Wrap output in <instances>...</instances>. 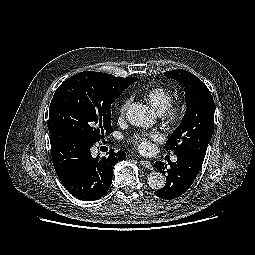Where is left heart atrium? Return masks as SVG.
<instances>
[{"mask_svg": "<svg viewBox=\"0 0 255 255\" xmlns=\"http://www.w3.org/2000/svg\"><path fill=\"white\" fill-rule=\"evenodd\" d=\"M156 137L157 135L153 133H137L132 136L131 142L138 150L146 152L150 149V139H155Z\"/></svg>", "mask_w": 255, "mask_h": 255, "instance_id": "1", "label": "left heart atrium"}]
</instances>
